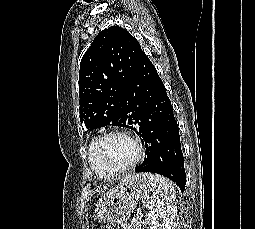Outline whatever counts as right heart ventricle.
Wrapping results in <instances>:
<instances>
[{"mask_svg":"<svg viewBox=\"0 0 255 229\" xmlns=\"http://www.w3.org/2000/svg\"><path fill=\"white\" fill-rule=\"evenodd\" d=\"M94 140L95 139H93L88 146L87 157H88L89 165L91 169L96 173V175L99 176L101 179H104V180L113 179L117 175L111 174L107 172L106 170H104L103 167L100 165V163L95 159L93 155L92 146H93Z\"/></svg>","mask_w":255,"mask_h":229,"instance_id":"1","label":"right heart ventricle"}]
</instances>
